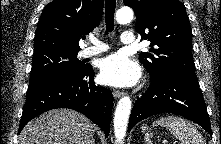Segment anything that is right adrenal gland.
<instances>
[{
  "instance_id": "1",
  "label": "right adrenal gland",
  "mask_w": 221,
  "mask_h": 144,
  "mask_svg": "<svg viewBox=\"0 0 221 144\" xmlns=\"http://www.w3.org/2000/svg\"><path fill=\"white\" fill-rule=\"evenodd\" d=\"M92 144H96V142H95V139L93 138V142H92Z\"/></svg>"
}]
</instances>
